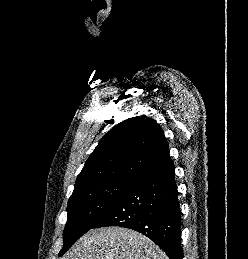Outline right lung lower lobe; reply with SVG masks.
Returning a JSON list of instances; mask_svg holds the SVG:
<instances>
[{
    "label": "right lung lower lobe",
    "instance_id": "1",
    "mask_svg": "<svg viewBox=\"0 0 248 259\" xmlns=\"http://www.w3.org/2000/svg\"><path fill=\"white\" fill-rule=\"evenodd\" d=\"M106 226L138 231L155 242L170 259H183L174 164L132 183L93 228Z\"/></svg>",
    "mask_w": 248,
    "mask_h": 259
}]
</instances>
